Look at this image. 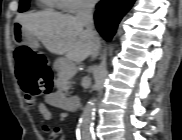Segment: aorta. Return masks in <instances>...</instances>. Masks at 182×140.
<instances>
[{"instance_id":"1","label":"aorta","mask_w":182,"mask_h":140,"mask_svg":"<svg viewBox=\"0 0 182 140\" xmlns=\"http://www.w3.org/2000/svg\"><path fill=\"white\" fill-rule=\"evenodd\" d=\"M94 111H95V101L94 99H90L83 109L78 124V133L82 140L92 139Z\"/></svg>"}]
</instances>
